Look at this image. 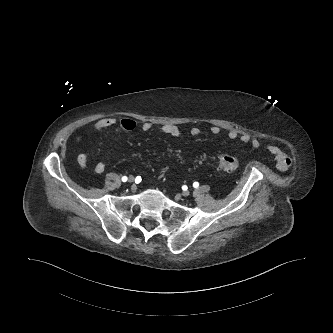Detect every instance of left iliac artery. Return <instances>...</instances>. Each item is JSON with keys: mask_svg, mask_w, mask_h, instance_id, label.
I'll return each instance as SVG.
<instances>
[{"mask_svg": "<svg viewBox=\"0 0 333 333\" xmlns=\"http://www.w3.org/2000/svg\"><path fill=\"white\" fill-rule=\"evenodd\" d=\"M198 186H199V183H198V182H194V183H193V187H194V188H198Z\"/></svg>", "mask_w": 333, "mask_h": 333, "instance_id": "obj_1", "label": "left iliac artery"}]
</instances>
